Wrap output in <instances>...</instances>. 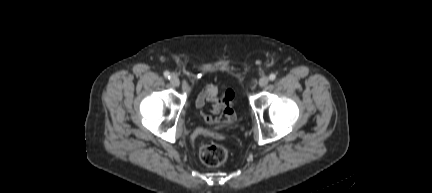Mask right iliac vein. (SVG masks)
Here are the masks:
<instances>
[{"label":"right iliac vein","mask_w":432,"mask_h":193,"mask_svg":"<svg viewBox=\"0 0 432 193\" xmlns=\"http://www.w3.org/2000/svg\"><path fill=\"white\" fill-rule=\"evenodd\" d=\"M170 83H171V85H172L173 87H179V85H180V80H179V78H178L177 76L173 75V76H171V78H170Z\"/></svg>","instance_id":"1"}]
</instances>
